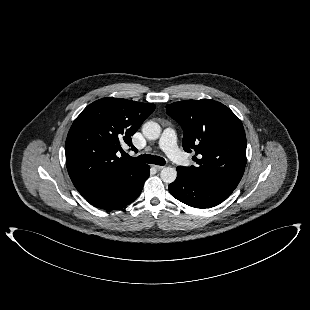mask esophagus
Wrapping results in <instances>:
<instances>
[{"mask_svg": "<svg viewBox=\"0 0 310 310\" xmlns=\"http://www.w3.org/2000/svg\"><path fill=\"white\" fill-rule=\"evenodd\" d=\"M153 168H155L157 171H160L164 168V166H160V165H153Z\"/></svg>", "mask_w": 310, "mask_h": 310, "instance_id": "1", "label": "esophagus"}]
</instances>
